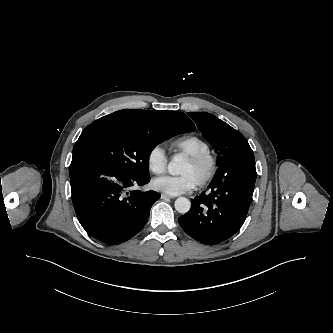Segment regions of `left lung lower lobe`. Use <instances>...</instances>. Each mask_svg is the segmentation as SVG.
I'll list each match as a JSON object with an SVG mask.
<instances>
[{"mask_svg": "<svg viewBox=\"0 0 333 333\" xmlns=\"http://www.w3.org/2000/svg\"><path fill=\"white\" fill-rule=\"evenodd\" d=\"M256 177L251 148L230 156L217 170L209 190L192 199L190 210L178 218L180 226L207 245L230 238L246 219Z\"/></svg>", "mask_w": 333, "mask_h": 333, "instance_id": "left-lung-lower-lobe-1", "label": "left lung lower lobe"}]
</instances>
